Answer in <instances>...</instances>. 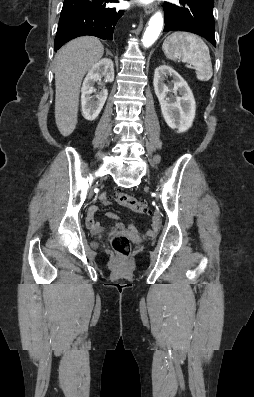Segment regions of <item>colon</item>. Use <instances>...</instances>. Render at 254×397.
<instances>
[{
    "instance_id": "colon-1",
    "label": "colon",
    "mask_w": 254,
    "mask_h": 397,
    "mask_svg": "<svg viewBox=\"0 0 254 397\" xmlns=\"http://www.w3.org/2000/svg\"><path fill=\"white\" fill-rule=\"evenodd\" d=\"M114 199L116 202L130 211L138 214H148L149 207L147 203L143 200L137 199L126 193H115ZM111 246L115 253L120 257H127L131 251V241L129 238L123 234H113L111 237Z\"/></svg>"
}]
</instances>
